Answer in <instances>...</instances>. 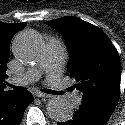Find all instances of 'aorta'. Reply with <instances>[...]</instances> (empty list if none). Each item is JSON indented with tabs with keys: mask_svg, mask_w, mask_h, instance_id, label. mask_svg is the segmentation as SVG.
<instances>
[{
	"mask_svg": "<svg viewBox=\"0 0 125 125\" xmlns=\"http://www.w3.org/2000/svg\"><path fill=\"white\" fill-rule=\"evenodd\" d=\"M42 45L41 39L31 31L19 33L13 42L15 56L23 62L36 60ZM48 116L58 122H66L72 118L73 108L63 97L49 100L46 106Z\"/></svg>",
	"mask_w": 125,
	"mask_h": 125,
	"instance_id": "1",
	"label": "aorta"
}]
</instances>
